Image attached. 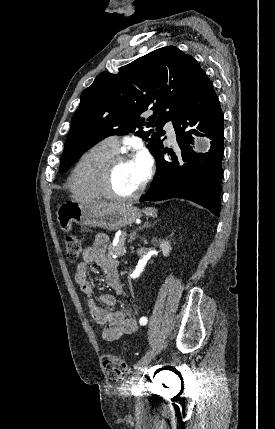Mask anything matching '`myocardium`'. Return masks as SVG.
<instances>
[{
	"label": "myocardium",
	"mask_w": 275,
	"mask_h": 429,
	"mask_svg": "<svg viewBox=\"0 0 275 429\" xmlns=\"http://www.w3.org/2000/svg\"><path fill=\"white\" fill-rule=\"evenodd\" d=\"M130 159H131L130 155L125 153H119L112 156L105 163L102 171V175H101V182H100L101 191L105 198L113 201H118V202H129L140 197L143 191L145 190L147 180L143 181L141 186L134 193L130 195H125V196L119 195L113 189V175L117 165Z\"/></svg>",
	"instance_id": "1"
}]
</instances>
